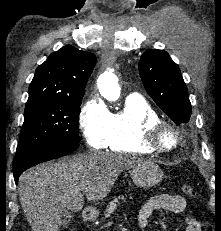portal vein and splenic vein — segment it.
Listing matches in <instances>:
<instances>
[{"instance_id":"1","label":"portal vein and splenic vein","mask_w":221,"mask_h":231,"mask_svg":"<svg viewBox=\"0 0 221 231\" xmlns=\"http://www.w3.org/2000/svg\"><path fill=\"white\" fill-rule=\"evenodd\" d=\"M86 189V186H82V190Z\"/></svg>"}]
</instances>
